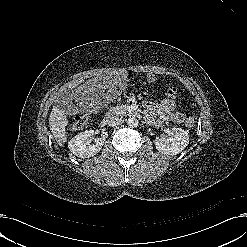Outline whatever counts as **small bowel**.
Returning <instances> with one entry per match:
<instances>
[{"label": "small bowel", "mask_w": 247, "mask_h": 247, "mask_svg": "<svg viewBox=\"0 0 247 247\" xmlns=\"http://www.w3.org/2000/svg\"><path fill=\"white\" fill-rule=\"evenodd\" d=\"M147 79L148 81L153 82L155 80V76L153 74H149ZM175 107V102L171 99H165L159 103L146 102V120L154 126H160L165 120H169L174 123H183L184 114L176 112Z\"/></svg>", "instance_id": "small-bowel-1"}]
</instances>
